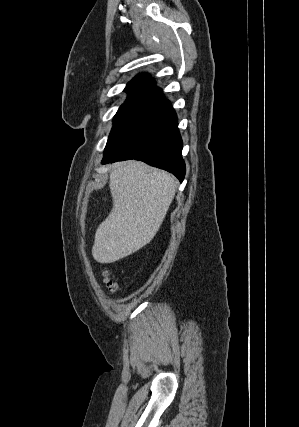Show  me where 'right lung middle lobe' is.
Returning <instances> with one entry per match:
<instances>
[{
	"label": "right lung middle lobe",
	"mask_w": 299,
	"mask_h": 427,
	"mask_svg": "<svg viewBox=\"0 0 299 427\" xmlns=\"http://www.w3.org/2000/svg\"><path fill=\"white\" fill-rule=\"evenodd\" d=\"M154 106L152 102L126 100L114 117V126L104 152L112 148L125 136Z\"/></svg>",
	"instance_id": "obj_1"
}]
</instances>
